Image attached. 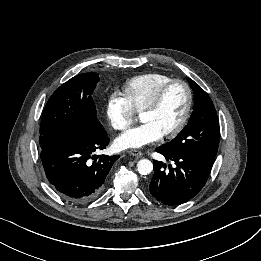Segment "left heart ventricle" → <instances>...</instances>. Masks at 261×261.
<instances>
[{
	"mask_svg": "<svg viewBox=\"0 0 261 261\" xmlns=\"http://www.w3.org/2000/svg\"><path fill=\"white\" fill-rule=\"evenodd\" d=\"M187 104V94L181 85L173 86L167 93L161 107L155 112L142 113L140 120L153 125L162 135L176 127Z\"/></svg>",
	"mask_w": 261,
	"mask_h": 261,
	"instance_id": "left-heart-ventricle-1",
	"label": "left heart ventricle"
}]
</instances>
